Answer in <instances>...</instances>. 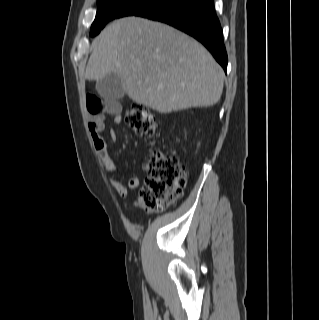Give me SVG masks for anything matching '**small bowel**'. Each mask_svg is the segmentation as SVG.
<instances>
[{"mask_svg":"<svg viewBox=\"0 0 319 320\" xmlns=\"http://www.w3.org/2000/svg\"><path fill=\"white\" fill-rule=\"evenodd\" d=\"M86 109L89 115L88 128L99 158L102 160L108 171L117 174L119 170L115 162L110 157L108 142L104 138L103 132L106 129L104 122L106 114L113 116V121L115 124H120L122 122L120 106L115 102H107L105 105H103L100 99L95 96L88 95ZM109 135L112 141L116 140L117 135L114 130H111ZM139 183V178L136 176L130 177L127 181V184H124L122 181L114 178L110 179L111 186L119 196H125L128 190L136 189L139 186Z\"/></svg>","mask_w":319,"mask_h":320,"instance_id":"small-bowel-1","label":"small bowel"}]
</instances>
